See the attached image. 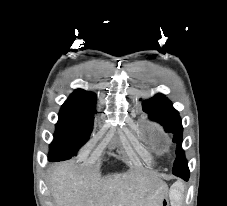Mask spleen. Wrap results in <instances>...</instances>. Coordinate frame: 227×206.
Segmentation results:
<instances>
[{
	"label": "spleen",
	"mask_w": 227,
	"mask_h": 206,
	"mask_svg": "<svg viewBox=\"0 0 227 206\" xmlns=\"http://www.w3.org/2000/svg\"><path fill=\"white\" fill-rule=\"evenodd\" d=\"M170 198L175 206H180L182 200V193L178 187H174L170 191Z\"/></svg>",
	"instance_id": "3e777b00"
}]
</instances>
